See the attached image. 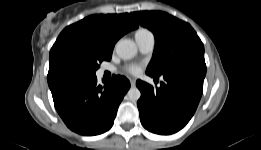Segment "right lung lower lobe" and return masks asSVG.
Returning a JSON list of instances; mask_svg holds the SVG:
<instances>
[{
    "mask_svg": "<svg viewBox=\"0 0 261 150\" xmlns=\"http://www.w3.org/2000/svg\"><path fill=\"white\" fill-rule=\"evenodd\" d=\"M130 88L123 76H113L104 86L96 76L66 80L51 89L55 108L65 124L81 135L109 130L118 106Z\"/></svg>",
    "mask_w": 261,
    "mask_h": 150,
    "instance_id": "98d812e1",
    "label": "right lung lower lobe"
}]
</instances>
